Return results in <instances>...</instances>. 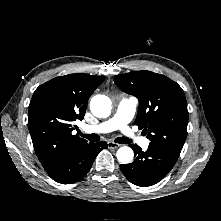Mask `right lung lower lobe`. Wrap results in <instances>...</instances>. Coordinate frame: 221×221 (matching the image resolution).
<instances>
[{"instance_id": "1", "label": "right lung lower lobe", "mask_w": 221, "mask_h": 221, "mask_svg": "<svg viewBox=\"0 0 221 221\" xmlns=\"http://www.w3.org/2000/svg\"><path fill=\"white\" fill-rule=\"evenodd\" d=\"M107 148V143H88L77 153L69 158L56 163L46 172L56 182L62 184H71L82 179L90 170L98 153Z\"/></svg>"}]
</instances>
